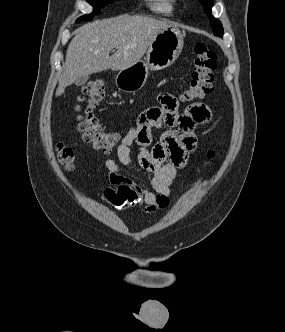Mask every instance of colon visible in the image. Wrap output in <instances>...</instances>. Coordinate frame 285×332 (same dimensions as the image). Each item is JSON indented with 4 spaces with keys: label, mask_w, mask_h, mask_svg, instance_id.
Returning <instances> with one entry per match:
<instances>
[{
    "label": "colon",
    "mask_w": 285,
    "mask_h": 332,
    "mask_svg": "<svg viewBox=\"0 0 285 332\" xmlns=\"http://www.w3.org/2000/svg\"><path fill=\"white\" fill-rule=\"evenodd\" d=\"M216 64V53L205 43L199 42L194 46L191 82L190 86L180 95L182 101L203 99L213 91V72ZM105 88L106 83L102 79L93 80L82 88L78 106V129L85 142L90 143L96 150L109 153L116 147L120 136L117 133L106 132L93 113L103 98ZM213 155L214 153L211 152L209 157H213ZM57 156L66 169H73L75 155L71 147L59 144Z\"/></svg>",
    "instance_id": "obj_1"
}]
</instances>
